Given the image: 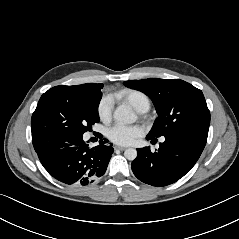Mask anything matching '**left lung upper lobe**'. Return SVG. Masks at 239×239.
Wrapping results in <instances>:
<instances>
[{
	"instance_id": "1",
	"label": "left lung upper lobe",
	"mask_w": 239,
	"mask_h": 239,
	"mask_svg": "<svg viewBox=\"0 0 239 239\" xmlns=\"http://www.w3.org/2000/svg\"><path fill=\"white\" fill-rule=\"evenodd\" d=\"M153 101L158 118L147 136L187 134L207 139L210 112L201 90L180 79L149 78L125 81Z\"/></svg>"
}]
</instances>
